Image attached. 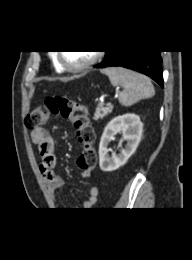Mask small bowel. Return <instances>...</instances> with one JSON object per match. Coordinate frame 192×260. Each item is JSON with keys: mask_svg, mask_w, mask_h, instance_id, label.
<instances>
[{"mask_svg": "<svg viewBox=\"0 0 192 260\" xmlns=\"http://www.w3.org/2000/svg\"><path fill=\"white\" fill-rule=\"evenodd\" d=\"M31 140L37 148L40 158L39 169L44 183L52 194L65 186L64 180L54 172L57 157L55 153V142L53 137L44 128H39L31 133ZM91 175V170H83L81 176L86 178ZM99 190L96 186H92L89 190L87 199L83 202V209L92 208L98 198Z\"/></svg>", "mask_w": 192, "mask_h": 260, "instance_id": "obj_1", "label": "small bowel"}]
</instances>
